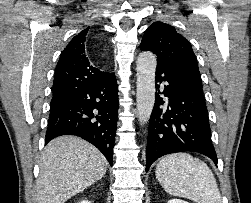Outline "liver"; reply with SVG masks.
<instances>
[{
	"instance_id": "6515ba94",
	"label": "liver",
	"mask_w": 251,
	"mask_h": 203,
	"mask_svg": "<svg viewBox=\"0 0 251 203\" xmlns=\"http://www.w3.org/2000/svg\"><path fill=\"white\" fill-rule=\"evenodd\" d=\"M108 162L90 143L76 136H60L45 147L37 180V203H65L98 180Z\"/></svg>"
}]
</instances>
